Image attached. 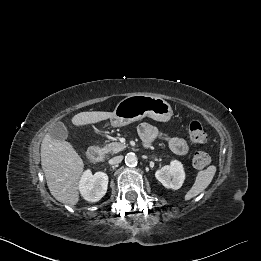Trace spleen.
<instances>
[{
    "instance_id": "3e777b00",
    "label": "spleen",
    "mask_w": 261,
    "mask_h": 261,
    "mask_svg": "<svg viewBox=\"0 0 261 261\" xmlns=\"http://www.w3.org/2000/svg\"><path fill=\"white\" fill-rule=\"evenodd\" d=\"M215 173H216V167L213 165L209 166L205 170L199 171L196 176L193 186L185 195V200L188 201V200L196 197L202 191H204L208 187V185L211 183Z\"/></svg>"
}]
</instances>
